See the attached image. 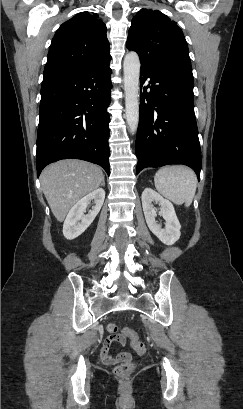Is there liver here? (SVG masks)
I'll use <instances>...</instances> for the list:
<instances>
[{"label":"liver","mask_w":243,"mask_h":409,"mask_svg":"<svg viewBox=\"0 0 243 409\" xmlns=\"http://www.w3.org/2000/svg\"><path fill=\"white\" fill-rule=\"evenodd\" d=\"M103 179L99 166L75 159L50 164L40 175L43 193L59 222L82 197L97 189Z\"/></svg>","instance_id":"1"}]
</instances>
